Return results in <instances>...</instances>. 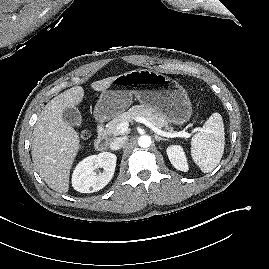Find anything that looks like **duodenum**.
<instances>
[{
	"label": "duodenum",
	"mask_w": 269,
	"mask_h": 269,
	"mask_svg": "<svg viewBox=\"0 0 269 269\" xmlns=\"http://www.w3.org/2000/svg\"><path fill=\"white\" fill-rule=\"evenodd\" d=\"M109 137L106 131L105 123L100 121L97 127V137L94 142L95 149L103 151L107 148Z\"/></svg>",
	"instance_id": "1"
}]
</instances>
